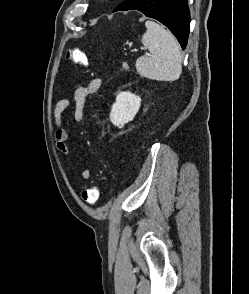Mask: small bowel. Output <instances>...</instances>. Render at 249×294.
Wrapping results in <instances>:
<instances>
[{"label": "small bowel", "mask_w": 249, "mask_h": 294, "mask_svg": "<svg viewBox=\"0 0 249 294\" xmlns=\"http://www.w3.org/2000/svg\"><path fill=\"white\" fill-rule=\"evenodd\" d=\"M101 85V79L98 77L92 78L88 81L80 82L76 84L72 90L71 99L59 100L54 108V122L56 126L55 141L56 148L59 152L70 156V149L67 145V141L70 138V132L62 127V115L68 108H73V117L77 123H80L84 118V110L86 106L87 98L99 90ZM74 171H78L76 166H73ZM81 176L85 180H89L92 177V172L89 168L81 171Z\"/></svg>", "instance_id": "small-bowel-1"}]
</instances>
